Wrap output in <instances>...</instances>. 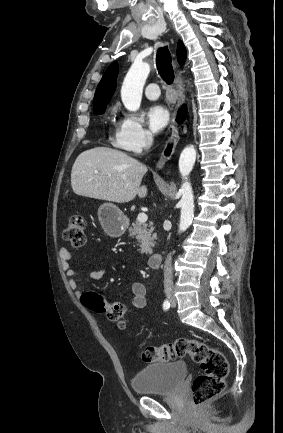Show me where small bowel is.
<instances>
[{
    "instance_id": "small-bowel-1",
    "label": "small bowel",
    "mask_w": 283,
    "mask_h": 433,
    "mask_svg": "<svg viewBox=\"0 0 283 433\" xmlns=\"http://www.w3.org/2000/svg\"><path fill=\"white\" fill-rule=\"evenodd\" d=\"M59 256L61 260L62 268L65 272V275L68 278L69 286L71 290L74 292L76 297H81L82 293L80 291L79 285L75 280L76 271L71 265V262L74 260V255L65 247H62L59 250ZM106 274L105 269L91 271L89 273V277L94 281H101ZM131 294H132V305L137 309H142L147 304L146 298V288L143 283L139 281H135L131 284Z\"/></svg>"
}]
</instances>
